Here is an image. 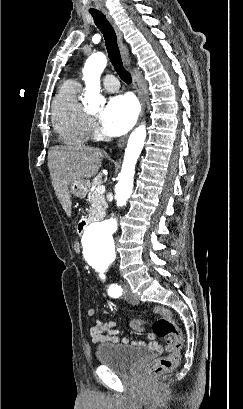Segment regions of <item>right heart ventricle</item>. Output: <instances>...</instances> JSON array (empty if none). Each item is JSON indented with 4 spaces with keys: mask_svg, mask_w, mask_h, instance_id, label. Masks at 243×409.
<instances>
[{
    "mask_svg": "<svg viewBox=\"0 0 243 409\" xmlns=\"http://www.w3.org/2000/svg\"><path fill=\"white\" fill-rule=\"evenodd\" d=\"M80 84L67 80L52 105V122L60 139L70 145H81L90 137L89 118L79 100Z\"/></svg>",
    "mask_w": 243,
    "mask_h": 409,
    "instance_id": "obj_1",
    "label": "right heart ventricle"
}]
</instances>
